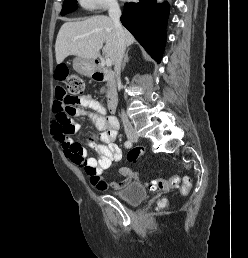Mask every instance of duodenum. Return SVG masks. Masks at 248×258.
<instances>
[{
	"instance_id": "duodenum-1",
	"label": "duodenum",
	"mask_w": 248,
	"mask_h": 258,
	"mask_svg": "<svg viewBox=\"0 0 248 258\" xmlns=\"http://www.w3.org/2000/svg\"><path fill=\"white\" fill-rule=\"evenodd\" d=\"M92 77L96 81H109L113 85L115 83V75L112 71L104 69L98 61L94 63V68L92 70ZM118 98L115 87H113L108 93L107 98V108L109 112L114 113L117 108Z\"/></svg>"
}]
</instances>
